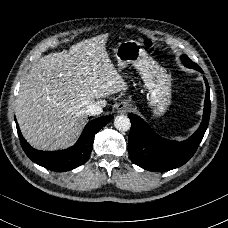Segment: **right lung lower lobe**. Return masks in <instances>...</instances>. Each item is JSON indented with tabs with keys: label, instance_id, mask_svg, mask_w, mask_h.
Here are the masks:
<instances>
[{
	"label": "right lung lower lobe",
	"instance_id": "right-lung-lower-lobe-1",
	"mask_svg": "<svg viewBox=\"0 0 228 228\" xmlns=\"http://www.w3.org/2000/svg\"><path fill=\"white\" fill-rule=\"evenodd\" d=\"M113 116H103L90 121L84 128L74 146L61 151H38L23 138L16 121L18 136L26 155L36 164L56 172L72 170L84 164L90 156L95 134L104 127Z\"/></svg>",
	"mask_w": 228,
	"mask_h": 228
}]
</instances>
